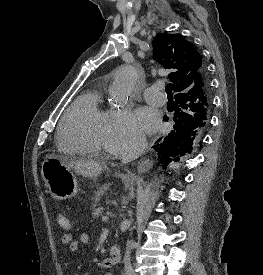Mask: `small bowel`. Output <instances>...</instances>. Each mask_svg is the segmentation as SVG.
Returning a JSON list of instances; mask_svg holds the SVG:
<instances>
[{"instance_id": "small-bowel-1", "label": "small bowel", "mask_w": 263, "mask_h": 275, "mask_svg": "<svg viewBox=\"0 0 263 275\" xmlns=\"http://www.w3.org/2000/svg\"><path fill=\"white\" fill-rule=\"evenodd\" d=\"M89 241V235L86 233H81L77 239H74L71 234H67L62 237L63 245L66 246L71 253L77 252L80 245H86ZM103 275H112V273L110 271H103Z\"/></svg>"}]
</instances>
